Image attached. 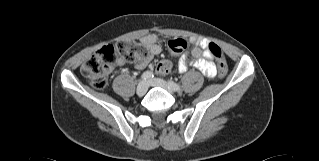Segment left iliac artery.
<instances>
[{"mask_svg": "<svg viewBox=\"0 0 319 161\" xmlns=\"http://www.w3.org/2000/svg\"><path fill=\"white\" fill-rule=\"evenodd\" d=\"M168 84L171 87V89L174 90V91H180L181 90L180 86L177 83H175V82H173L171 80L168 81Z\"/></svg>", "mask_w": 319, "mask_h": 161, "instance_id": "obj_1", "label": "left iliac artery"}]
</instances>
